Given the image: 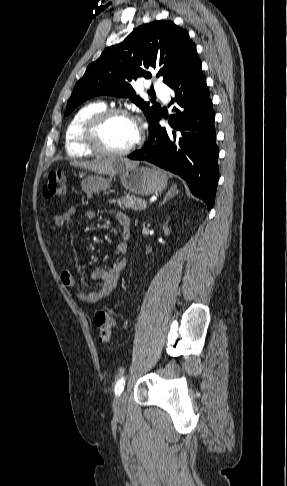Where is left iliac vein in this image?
Instances as JSON below:
<instances>
[{
	"label": "left iliac vein",
	"instance_id": "1",
	"mask_svg": "<svg viewBox=\"0 0 287 486\" xmlns=\"http://www.w3.org/2000/svg\"><path fill=\"white\" fill-rule=\"evenodd\" d=\"M126 400H127V394L125 391L122 392V394L115 399L113 404V410L117 418H122L125 415Z\"/></svg>",
	"mask_w": 287,
	"mask_h": 486
}]
</instances>
